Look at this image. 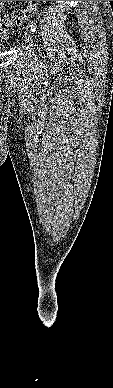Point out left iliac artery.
Masks as SVG:
<instances>
[{"instance_id": "left-iliac-artery-1", "label": "left iliac artery", "mask_w": 113, "mask_h": 388, "mask_svg": "<svg viewBox=\"0 0 113 388\" xmlns=\"http://www.w3.org/2000/svg\"><path fill=\"white\" fill-rule=\"evenodd\" d=\"M29 26H30L32 32L36 33L38 31L37 22L35 20H30Z\"/></svg>"}]
</instances>
